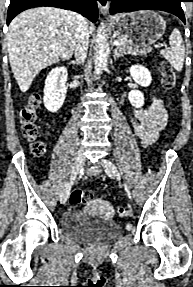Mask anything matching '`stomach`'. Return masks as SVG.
Wrapping results in <instances>:
<instances>
[{"mask_svg":"<svg viewBox=\"0 0 193 287\" xmlns=\"http://www.w3.org/2000/svg\"><path fill=\"white\" fill-rule=\"evenodd\" d=\"M111 24L114 33L134 47L155 43L166 29L164 19L149 10L120 14Z\"/></svg>","mask_w":193,"mask_h":287,"instance_id":"stomach-1","label":"stomach"}]
</instances>
